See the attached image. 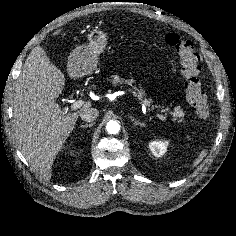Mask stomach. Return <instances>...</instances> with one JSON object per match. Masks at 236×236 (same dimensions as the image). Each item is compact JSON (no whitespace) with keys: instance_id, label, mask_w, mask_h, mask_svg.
<instances>
[{"instance_id":"stomach-1","label":"stomach","mask_w":236,"mask_h":236,"mask_svg":"<svg viewBox=\"0 0 236 236\" xmlns=\"http://www.w3.org/2000/svg\"><path fill=\"white\" fill-rule=\"evenodd\" d=\"M107 34L100 29H93L88 34L89 43L72 50L68 57L69 72L74 70L77 77L91 74L98 64V57L107 45Z\"/></svg>"}]
</instances>
